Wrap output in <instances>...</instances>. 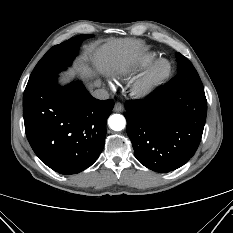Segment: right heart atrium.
Segmentation results:
<instances>
[{
	"label": "right heart atrium",
	"instance_id": "obj_1",
	"mask_svg": "<svg viewBox=\"0 0 233 233\" xmlns=\"http://www.w3.org/2000/svg\"><path fill=\"white\" fill-rule=\"evenodd\" d=\"M109 84H110V86H111V87H113V86H114V84H113V83H111V82H110Z\"/></svg>",
	"mask_w": 233,
	"mask_h": 233
}]
</instances>
